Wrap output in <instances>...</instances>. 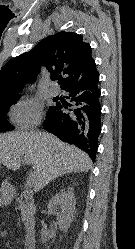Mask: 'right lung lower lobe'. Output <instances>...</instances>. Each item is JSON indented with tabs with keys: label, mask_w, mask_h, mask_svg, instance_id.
I'll return each instance as SVG.
<instances>
[{
	"label": "right lung lower lobe",
	"mask_w": 135,
	"mask_h": 249,
	"mask_svg": "<svg viewBox=\"0 0 135 249\" xmlns=\"http://www.w3.org/2000/svg\"><path fill=\"white\" fill-rule=\"evenodd\" d=\"M99 73L94 77L67 87L68 99L73 105L57 103L52 106L44 121V129L67 143L85 151L92 161L98 148L101 132ZM71 112H67L66 109Z\"/></svg>",
	"instance_id": "98d812e1"
}]
</instances>
